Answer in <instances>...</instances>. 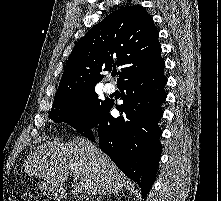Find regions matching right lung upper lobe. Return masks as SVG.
Here are the masks:
<instances>
[{"label": "right lung upper lobe", "instance_id": "cb5924a9", "mask_svg": "<svg viewBox=\"0 0 221 201\" xmlns=\"http://www.w3.org/2000/svg\"><path fill=\"white\" fill-rule=\"evenodd\" d=\"M158 30L140 6H125L91 28L72 50L55 97L94 89L102 71L121 66L117 85L161 61Z\"/></svg>", "mask_w": 221, "mask_h": 201}]
</instances>
